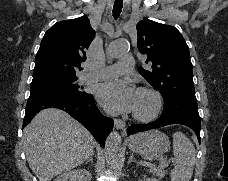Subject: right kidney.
Segmentation results:
<instances>
[{
  "instance_id": "1",
  "label": "right kidney",
  "mask_w": 228,
  "mask_h": 181,
  "mask_svg": "<svg viewBox=\"0 0 228 181\" xmlns=\"http://www.w3.org/2000/svg\"><path fill=\"white\" fill-rule=\"evenodd\" d=\"M92 175L89 171L84 169H75V171H66L60 177H57L55 181H91Z\"/></svg>"
}]
</instances>
